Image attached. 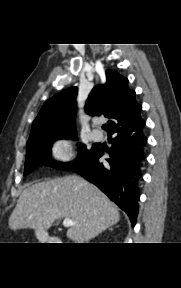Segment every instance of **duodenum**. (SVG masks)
Listing matches in <instances>:
<instances>
[{"label": "duodenum", "mask_w": 181, "mask_h": 288, "mask_svg": "<svg viewBox=\"0 0 181 288\" xmlns=\"http://www.w3.org/2000/svg\"><path fill=\"white\" fill-rule=\"evenodd\" d=\"M38 236H39V239L41 240V241H44V242H49V241H51L53 238H51L47 233H45V232H40L39 234H38ZM56 241H58L57 243H60L59 241V239H56Z\"/></svg>", "instance_id": "obj_1"}]
</instances>
